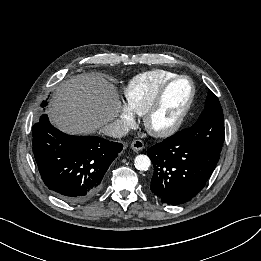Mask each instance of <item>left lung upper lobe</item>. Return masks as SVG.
<instances>
[{
	"mask_svg": "<svg viewBox=\"0 0 261 261\" xmlns=\"http://www.w3.org/2000/svg\"><path fill=\"white\" fill-rule=\"evenodd\" d=\"M190 130L195 144L221 152L224 140L223 111L212 91L207 95L204 111Z\"/></svg>",
	"mask_w": 261,
	"mask_h": 261,
	"instance_id": "left-lung-upper-lobe-1",
	"label": "left lung upper lobe"
}]
</instances>
